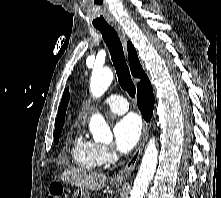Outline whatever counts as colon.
Masks as SVG:
<instances>
[{"label":"colon","mask_w":221,"mask_h":198,"mask_svg":"<svg viewBox=\"0 0 221 198\" xmlns=\"http://www.w3.org/2000/svg\"><path fill=\"white\" fill-rule=\"evenodd\" d=\"M48 198H65L63 194L62 186L59 183L51 184Z\"/></svg>","instance_id":"1"}]
</instances>
